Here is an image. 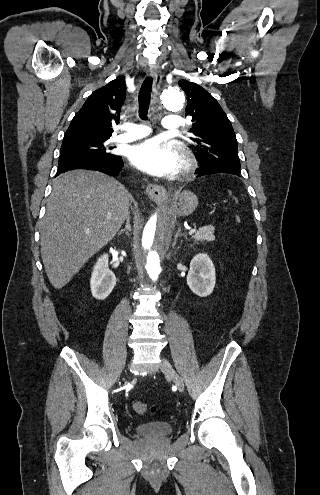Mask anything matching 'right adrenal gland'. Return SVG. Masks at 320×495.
Masks as SVG:
<instances>
[{
	"mask_svg": "<svg viewBox=\"0 0 320 495\" xmlns=\"http://www.w3.org/2000/svg\"><path fill=\"white\" fill-rule=\"evenodd\" d=\"M131 230L132 229H131V225H130V216L128 215L126 217V224H125L124 229H121L118 234L121 235L122 233H126L127 236H130L129 232Z\"/></svg>",
	"mask_w": 320,
	"mask_h": 495,
	"instance_id": "right-adrenal-gland-1",
	"label": "right adrenal gland"
}]
</instances>
